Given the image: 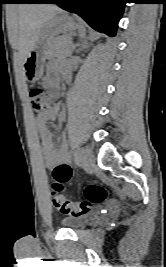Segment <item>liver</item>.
I'll use <instances>...</instances> for the list:
<instances>
[{"label":"liver","mask_w":166,"mask_h":267,"mask_svg":"<svg viewBox=\"0 0 166 267\" xmlns=\"http://www.w3.org/2000/svg\"><path fill=\"white\" fill-rule=\"evenodd\" d=\"M62 11L56 5L21 4L18 6L17 44L21 57L25 60L38 38L41 26L56 13Z\"/></svg>","instance_id":"liver-1"}]
</instances>
